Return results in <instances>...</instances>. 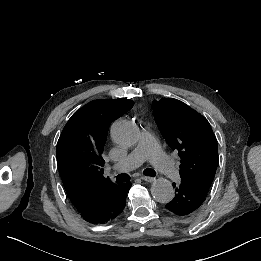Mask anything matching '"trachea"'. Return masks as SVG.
<instances>
[{
    "instance_id": "obj_1",
    "label": "trachea",
    "mask_w": 261,
    "mask_h": 261,
    "mask_svg": "<svg viewBox=\"0 0 261 261\" xmlns=\"http://www.w3.org/2000/svg\"><path fill=\"white\" fill-rule=\"evenodd\" d=\"M143 174L145 176H150V177L156 176V172L150 168L144 169ZM115 178H116L117 182H127L131 179V176L129 174L123 173V174L117 175Z\"/></svg>"
}]
</instances>
